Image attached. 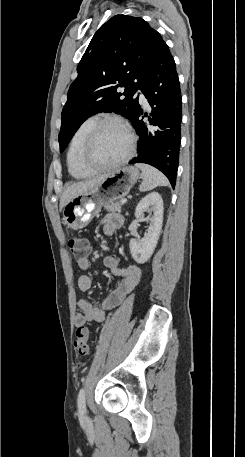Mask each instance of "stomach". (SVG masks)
Returning a JSON list of instances; mask_svg holds the SVG:
<instances>
[{
	"mask_svg": "<svg viewBox=\"0 0 245 457\" xmlns=\"http://www.w3.org/2000/svg\"><path fill=\"white\" fill-rule=\"evenodd\" d=\"M139 176L140 172L135 166H119L109 172L104 180L66 202L63 206L64 224L73 231L84 229L93 216L100 212L102 204L114 202L128 194Z\"/></svg>",
	"mask_w": 245,
	"mask_h": 457,
	"instance_id": "1",
	"label": "stomach"
}]
</instances>
